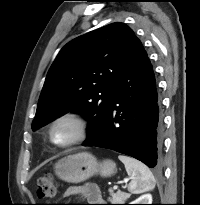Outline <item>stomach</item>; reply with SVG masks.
Returning a JSON list of instances; mask_svg holds the SVG:
<instances>
[{"instance_id": "0dacf381", "label": "stomach", "mask_w": 200, "mask_h": 205, "mask_svg": "<svg viewBox=\"0 0 200 205\" xmlns=\"http://www.w3.org/2000/svg\"><path fill=\"white\" fill-rule=\"evenodd\" d=\"M55 174L66 182L79 183L93 175L109 177L116 172V164L111 160L98 162L88 152H79L60 159L54 165Z\"/></svg>"}]
</instances>
